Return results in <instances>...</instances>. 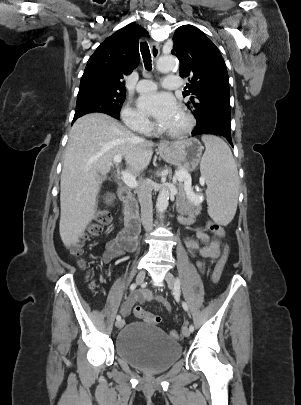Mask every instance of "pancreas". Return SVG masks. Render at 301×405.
I'll use <instances>...</instances> for the list:
<instances>
[{
  "instance_id": "pancreas-1",
  "label": "pancreas",
  "mask_w": 301,
  "mask_h": 405,
  "mask_svg": "<svg viewBox=\"0 0 301 405\" xmlns=\"http://www.w3.org/2000/svg\"><path fill=\"white\" fill-rule=\"evenodd\" d=\"M178 171H186L184 168H179ZM176 205L186 213L198 214L201 210L200 203L192 201L184 191V185L178 184V194L176 197Z\"/></svg>"
}]
</instances>
